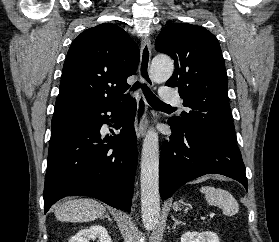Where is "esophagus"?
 <instances>
[{
  "mask_svg": "<svg viewBox=\"0 0 279 242\" xmlns=\"http://www.w3.org/2000/svg\"><path fill=\"white\" fill-rule=\"evenodd\" d=\"M150 60H151V41L149 37H144L141 41V56L139 64V79L141 83L147 86H153V80L150 75ZM148 104L146 102L143 91L140 90L137 99V114L135 118V132L137 138L144 136L147 125Z\"/></svg>",
  "mask_w": 279,
  "mask_h": 242,
  "instance_id": "34e87169",
  "label": "esophagus"
}]
</instances>
